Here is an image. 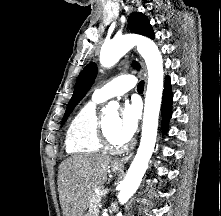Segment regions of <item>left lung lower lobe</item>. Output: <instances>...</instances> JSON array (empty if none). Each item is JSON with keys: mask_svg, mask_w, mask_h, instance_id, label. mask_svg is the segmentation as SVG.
Segmentation results:
<instances>
[{"mask_svg": "<svg viewBox=\"0 0 221 216\" xmlns=\"http://www.w3.org/2000/svg\"><path fill=\"white\" fill-rule=\"evenodd\" d=\"M172 102H173V95L171 91L170 78L167 76L165 81V88H164L162 108H161L163 134L168 130V122L172 115V110H171Z\"/></svg>", "mask_w": 221, "mask_h": 216, "instance_id": "left-lung-lower-lobe-1", "label": "left lung lower lobe"}]
</instances>
